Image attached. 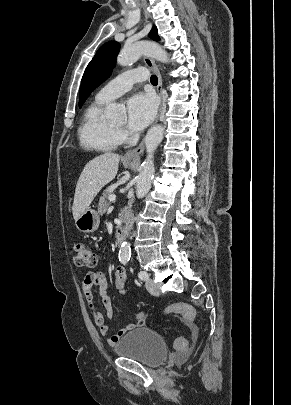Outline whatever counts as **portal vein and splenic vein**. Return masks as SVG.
<instances>
[{
	"mask_svg": "<svg viewBox=\"0 0 291 405\" xmlns=\"http://www.w3.org/2000/svg\"><path fill=\"white\" fill-rule=\"evenodd\" d=\"M110 201H115L116 200V195L112 194L109 196Z\"/></svg>",
	"mask_w": 291,
	"mask_h": 405,
	"instance_id": "1",
	"label": "portal vein and splenic vein"
}]
</instances>
